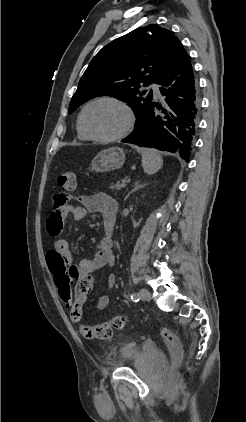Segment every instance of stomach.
<instances>
[{
	"label": "stomach",
	"mask_w": 246,
	"mask_h": 422,
	"mask_svg": "<svg viewBox=\"0 0 246 422\" xmlns=\"http://www.w3.org/2000/svg\"><path fill=\"white\" fill-rule=\"evenodd\" d=\"M125 152L122 148L111 147L100 151L91 162V170L108 172L121 168L125 163Z\"/></svg>",
	"instance_id": "obj_1"
}]
</instances>
